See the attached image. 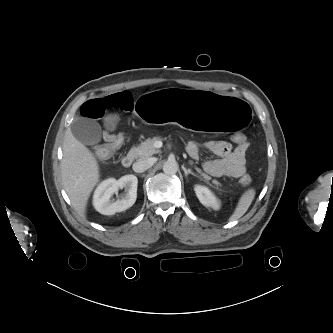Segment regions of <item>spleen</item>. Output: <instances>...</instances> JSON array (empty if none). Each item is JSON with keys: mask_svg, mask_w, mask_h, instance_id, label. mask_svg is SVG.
I'll list each match as a JSON object with an SVG mask.
<instances>
[{"mask_svg": "<svg viewBox=\"0 0 333 333\" xmlns=\"http://www.w3.org/2000/svg\"><path fill=\"white\" fill-rule=\"evenodd\" d=\"M255 194V190L253 188H250L241 195L234 213L229 218L230 221L238 220L247 212L248 208L250 207L252 201L255 198Z\"/></svg>", "mask_w": 333, "mask_h": 333, "instance_id": "1", "label": "spleen"}]
</instances>
